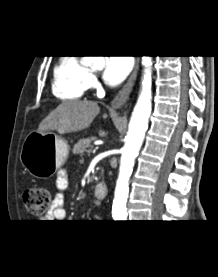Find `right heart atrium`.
<instances>
[{"mask_svg": "<svg viewBox=\"0 0 218 277\" xmlns=\"http://www.w3.org/2000/svg\"><path fill=\"white\" fill-rule=\"evenodd\" d=\"M96 81H97L96 76H95L94 74H92V73H89V76H88V84H89L90 86H93V85L96 84Z\"/></svg>", "mask_w": 218, "mask_h": 277, "instance_id": "right-heart-atrium-1", "label": "right heart atrium"}]
</instances>
